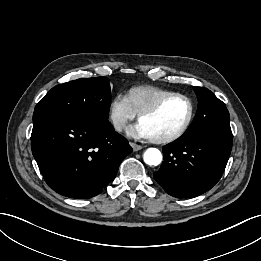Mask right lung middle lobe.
<instances>
[{"mask_svg": "<svg viewBox=\"0 0 261 261\" xmlns=\"http://www.w3.org/2000/svg\"><path fill=\"white\" fill-rule=\"evenodd\" d=\"M111 104L109 79L82 78L53 87L38 102L35 111H48L86 117L106 129Z\"/></svg>", "mask_w": 261, "mask_h": 261, "instance_id": "1", "label": "right lung middle lobe"}]
</instances>
